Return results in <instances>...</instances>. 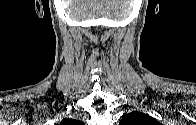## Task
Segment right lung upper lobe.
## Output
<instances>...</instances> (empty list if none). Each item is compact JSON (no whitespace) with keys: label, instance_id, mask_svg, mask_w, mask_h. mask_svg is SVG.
<instances>
[{"label":"right lung upper lobe","instance_id":"cb5924a9","mask_svg":"<svg viewBox=\"0 0 196 125\" xmlns=\"http://www.w3.org/2000/svg\"><path fill=\"white\" fill-rule=\"evenodd\" d=\"M69 122H72V120L71 119H64V120H62V122H61V124H66V123H69Z\"/></svg>","mask_w":196,"mask_h":125}]
</instances>
